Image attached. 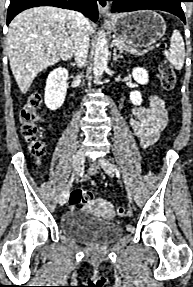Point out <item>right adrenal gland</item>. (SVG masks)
Listing matches in <instances>:
<instances>
[{
    "mask_svg": "<svg viewBox=\"0 0 193 287\" xmlns=\"http://www.w3.org/2000/svg\"><path fill=\"white\" fill-rule=\"evenodd\" d=\"M71 64H72L73 66H75V65H76V63H75V62H72Z\"/></svg>",
    "mask_w": 193,
    "mask_h": 287,
    "instance_id": "1",
    "label": "right adrenal gland"
}]
</instances>
